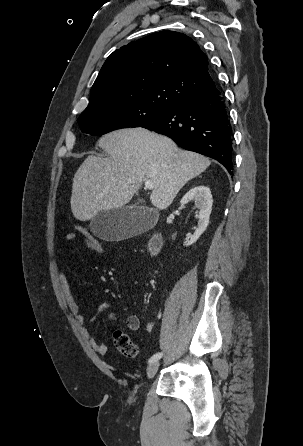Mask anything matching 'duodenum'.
Listing matches in <instances>:
<instances>
[{
  "label": "duodenum",
  "instance_id": "duodenum-1",
  "mask_svg": "<svg viewBox=\"0 0 303 446\" xmlns=\"http://www.w3.org/2000/svg\"><path fill=\"white\" fill-rule=\"evenodd\" d=\"M162 245V238L159 235H154L148 244V249L151 253H156Z\"/></svg>",
  "mask_w": 303,
  "mask_h": 446
}]
</instances>
